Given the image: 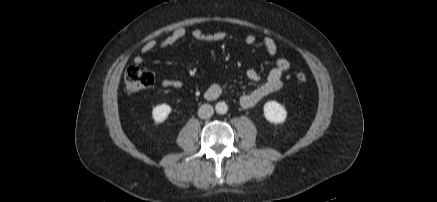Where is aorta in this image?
Here are the masks:
<instances>
[{"mask_svg": "<svg viewBox=\"0 0 437 202\" xmlns=\"http://www.w3.org/2000/svg\"><path fill=\"white\" fill-rule=\"evenodd\" d=\"M215 111L218 114H225L228 111V106H227V104L225 102H218L215 105Z\"/></svg>", "mask_w": 437, "mask_h": 202, "instance_id": "762f6f07", "label": "aorta"}]
</instances>
